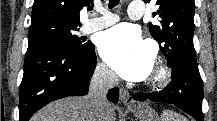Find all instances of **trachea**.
Listing matches in <instances>:
<instances>
[{
    "instance_id": "obj_1",
    "label": "trachea",
    "mask_w": 217,
    "mask_h": 121,
    "mask_svg": "<svg viewBox=\"0 0 217 121\" xmlns=\"http://www.w3.org/2000/svg\"><path fill=\"white\" fill-rule=\"evenodd\" d=\"M120 3V0H109V8L112 9ZM92 9V8H91Z\"/></svg>"
}]
</instances>
